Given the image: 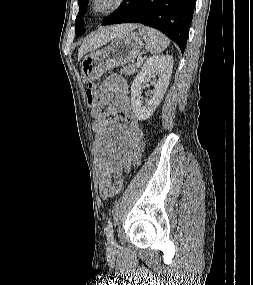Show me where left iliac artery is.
Masks as SVG:
<instances>
[{"label": "left iliac artery", "instance_id": "obj_1", "mask_svg": "<svg viewBox=\"0 0 253 285\" xmlns=\"http://www.w3.org/2000/svg\"><path fill=\"white\" fill-rule=\"evenodd\" d=\"M106 230V236H107V240L110 242V243H114V236H113V225H112V222L109 220L108 221V224L105 228Z\"/></svg>", "mask_w": 253, "mask_h": 285}]
</instances>
